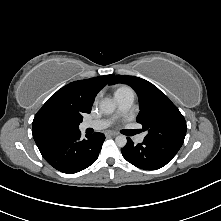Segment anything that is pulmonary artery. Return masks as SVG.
Listing matches in <instances>:
<instances>
[{
    "mask_svg": "<svg viewBox=\"0 0 221 221\" xmlns=\"http://www.w3.org/2000/svg\"><path fill=\"white\" fill-rule=\"evenodd\" d=\"M117 106H118V113L119 114H126L130 111L133 102H134V93L130 92L124 95L116 96L115 97ZM111 124V120L108 119H101V120H91L85 121L81 124V129H88L92 128L95 130H101L108 127ZM145 135L141 134L137 136L136 141L142 142L144 140Z\"/></svg>",
    "mask_w": 221,
    "mask_h": 221,
    "instance_id": "obj_1",
    "label": "pulmonary artery"
}]
</instances>
